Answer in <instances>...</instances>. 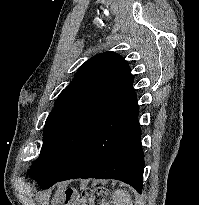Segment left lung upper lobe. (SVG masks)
Listing matches in <instances>:
<instances>
[{
	"instance_id": "5c2ea615",
	"label": "left lung upper lobe",
	"mask_w": 199,
	"mask_h": 205,
	"mask_svg": "<svg viewBox=\"0 0 199 205\" xmlns=\"http://www.w3.org/2000/svg\"><path fill=\"white\" fill-rule=\"evenodd\" d=\"M133 82L129 65L115 52L82 64L47 117L43 146L28 175L39 185L60 177L97 125L131 92Z\"/></svg>"
}]
</instances>
